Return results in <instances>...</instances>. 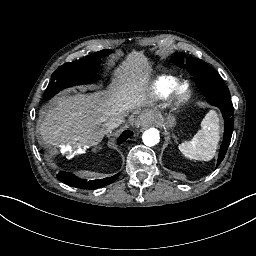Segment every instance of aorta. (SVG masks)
Segmentation results:
<instances>
[{
  "instance_id": "aorta-1",
  "label": "aorta",
  "mask_w": 256,
  "mask_h": 256,
  "mask_svg": "<svg viewBox=\"0 0 256 256\" xmlns=\"http://www.w3.org/2000/svg\"><path fill=\"white\" fill-rule=\"evenodd\" d=\"M142 140L149 147L155 146L160 142V133L155 128H151L143 133Z\"/></svg>"
}]
</instances>
